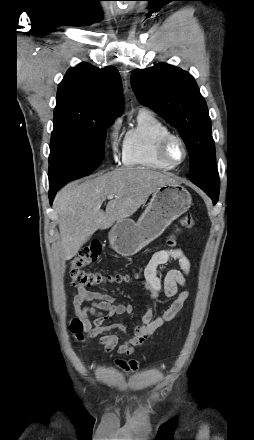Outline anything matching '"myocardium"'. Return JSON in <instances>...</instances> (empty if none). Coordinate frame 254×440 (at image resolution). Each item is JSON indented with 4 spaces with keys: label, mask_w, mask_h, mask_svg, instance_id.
<instances>
[{
    "label": "myocardium",
    "mask_w": 254,
    "mask_h": 440,
    "mask_svg": "<svg viewBox=\"0 0 254 440\" xmlns=\"http://www.w3.org/2000/svg\"><path fill=\"white\" fill-rule=\"evenodd\" d=\"M178 143L181 146L182 152H183V157L181 159V161L179 162H175L169 154V149L170 146L172 145V143ZM157 156L158 158L164 162L165 164L171 166V167H178L181 164H183L185 162V160L187 159L188 156V150L186 147V144L184 142V140L179 136L176 135L174 133H168L165 134L164 136H162L157 144Z\"/></svg>",
    "instance_id": "1"
}]
</instances>
